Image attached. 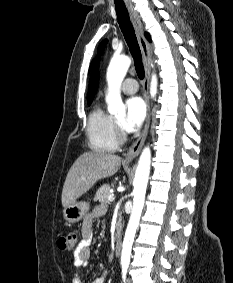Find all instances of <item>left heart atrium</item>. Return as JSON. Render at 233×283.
Listing matches in <instances>:
<instances>
[{"label":"left heart atrium","instance_id":"1","mask_svg":"<svg viewBox=\"0 0 233 283\" xmlns=\"http://www.w3.org/2000/svg\"><path fill=\"white\" fill-rule=\"evenodd\" d=\"M126 117L123 122V126L128 132L135 131L143 123L146 116V106L144 101L134 96L126 101Z\"/></svg>","mask_w":233,"mask_h":283}]
</instances>
